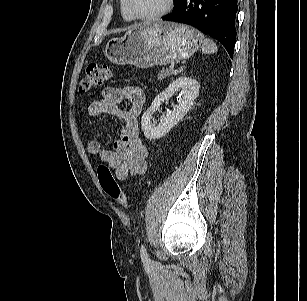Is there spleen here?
<instances>
[{
  "instance_id": "obj_1",
  "label": "spleen",
  "mask_w": 307,
  "mask_h": 301,
  "mask_svg": "<svg viewBox=\"0 0 307 301\" xmlns=\"http://www.w3.org/2000/svg\"><path fill=\"white\" fill-rule=\"evenodd\" d=\"M217 50H218V48L212 40H210L208 38H204L202 40V52L204 54L215 53V52H217Z\"/></svg>"
}]
</instances>
